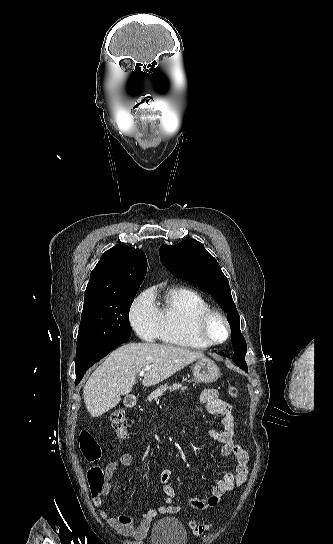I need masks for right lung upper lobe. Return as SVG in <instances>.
<instances>
[{"label":"right lung upper lobe","instance_id":"right-lung-upper-lobe-1","mask_svg":"<svg viewBox=\"0 0 333 544\" xmlns=\"http://www.w3.org/2000/svg\"><path fill=\"white\" fill-rule=\"evenodd\" d=\"M146 271L147 259L142 250L126 245H115L101 256L91 272L84 303L138 290Z\"/></svg>","mask_w":333,"mask_h":544}]
</instances>
